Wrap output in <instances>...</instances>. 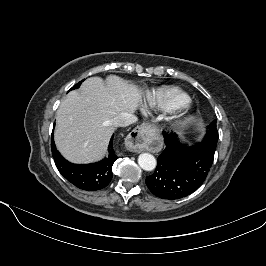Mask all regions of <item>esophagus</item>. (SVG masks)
I'll return each instance as SVG.
<instances>
[{
  "label": "esophagus",
  "instance_id": "obj_1",
  "mask_svg": "<svg viewBox=\"0 0 266 266\" xmlns=\"http://www.w3.org/2000/svg\"><path fill=\"white\" fill-rule=\"evenodd\" d=\"M150 130L149 125L142 124L135 128L129 135L126 137L125 145L126 148L135 153H140L144 150L145 138Z\"/></svg>",
  "mask_w": 266,
  "mask_h": 266
}]
</instances>
